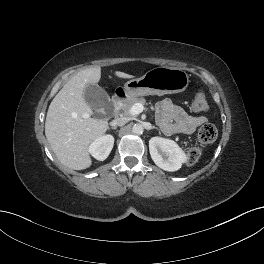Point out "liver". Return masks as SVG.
I'll return each instance as SVG.
<instances>
[{"mask_svg": "<svg viewBox=\"0 0 264 264\" xmlns=\"http://www.w3.org/2000/svg\"><path fill=\"white\" fill-rule=\"evenodd\" d=\"M119 78L132 75L116 71ZM101 68L92 67L75 74L52 100L45 121V135L58 160L74 170L91 166L89 146L105 134L108 122L92 118L93 111L84 98L87 85L97 84Z\"/></svg>", "mask_w": 264, "mask_h": 264, "instance_id": "liver-1", "label": "liver"}]
</instances>
